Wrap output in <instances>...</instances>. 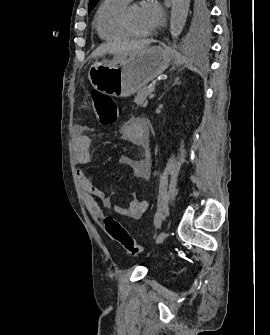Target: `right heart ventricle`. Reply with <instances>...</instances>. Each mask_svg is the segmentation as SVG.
<instances>
[{"label": "right heart ventricle", "mask_w": 270, "mask_h": 335, "mask_svg": "<svg viewBox=\"0 0 270 335\" xmlns=\"http://www.w3.org/2000/svg\"><path fill=\"white\" fill-rule=\"evenodd\" d=\"M129 3L122 0H103L95 15V30L97 35L106 41H119L129 36L120 25V14ZM151 78V77H128Z\"/></svg>", "instance_id": "obj_1"}]
</instances>
